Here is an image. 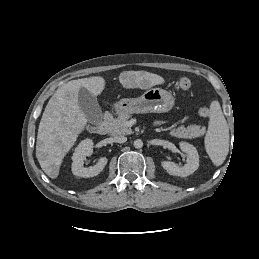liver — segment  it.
Here are the masks:
<instances>
[{"label": "liver", "mask_w": 259, "mask_h": 259, "mask_svg": "<svg viewBox=\"0 0 259 259\" xmlns=\"http://www.w3.org/2000/svg\"><path fill=\"white\" fill-rule=\"evenodd\" d=\"M119 82L126 89H149L165 80L146 71H124L119 75ZM81 87L97 96L105 88V79L93 76L62 85L50 98L39 124L36 157L42 170L52 179L58 177L65 155L87 125V118L78 103Z\"/></svg>", "instance_id": "liver-1"}]
</instances>
